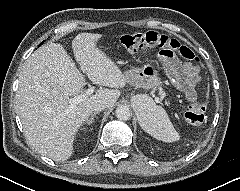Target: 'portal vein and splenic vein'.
Instances as JSON below:
<instances>
[{
    "mask_svg": "<svg viewBox=\"0 0 240 191\" xmlns=\"http://www.w3.org/2000/svg\"><path fill=\"white\" fill-rule=\"evenodd\" d=\"M94 92V87H90L89 89H87V91L85 92V94H79L73 98L69 99V103L71 108H73L75 105H77L78 103L84 101L86 99L87 96L91 95Z\"/></svg>",
    "mask_w": 240,
    "mask_h": 191,
    "instance_id": "obj_1",
    "label": "portal vein and splenic vein"
}]
</instances>
